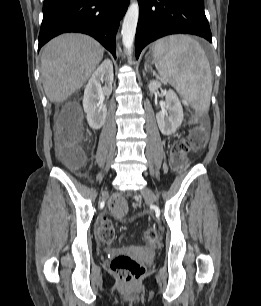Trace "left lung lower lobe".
Listing matches in <instances>:
<instances>
[{"label": "left lung lower lobe", "mask_w": 261, "mask_h": 306, "mask_svg": "<svg viewBox=\"0 0 261 306\" xmlns=\"http://www.w3.org/2000/svg\"><path fill=\"white\" fill-rule=\"evenodd\" d=\"M139 21L135 36L138 59L149 43L170 34H194L212 42L203 0H138Z\"/></svg>", "instance_id": "obj_1"}]
</instances>
